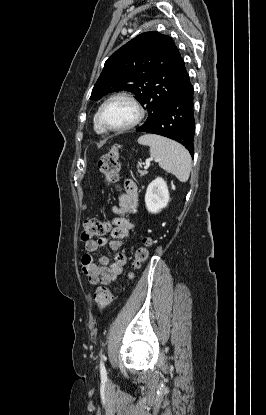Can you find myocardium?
<instances>
[{
	"instance_id": "obj_1",
	"label": "myocardium",
	"mask_w": 266,
	"mask_h": 415,
	"mask_svg": "<svg viewBox=\"0 0 266 415\" xmlns=\"http://www.w3.org/2000/svg\"><path fill=\"white\" fill-rule=\"evenodd\" d=\"M117 99H124L126 101H128L136 110V116L134 118V120L132 122H130L127 125L121 126V127H111L109 125L106 124V122L104 121L103 118V113L105 110V107L112 101L117 100ZM145 115V111L142 107V105L139 103V101L130 93L128 92H117L111 96H109L100 106L99 111H98V121L99 124L101 125V127L105 130V131H110V132H123V131H127L130 130L132 128H134L135 126H137L142 119L144 118Z\"/></svg>"
}]
</instances>
